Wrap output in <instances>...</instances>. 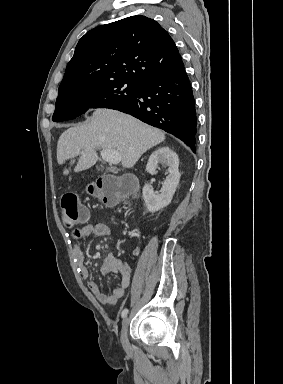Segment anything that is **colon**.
Returning a JSON list of instances; mask_svg holds the SVG:
<instances>
[{"label": "colon", "instance_id": "1", "mask_svg": "<svg viewBox=\"0 0 283 384\" xmlns=\"http://www.w3.org/2000/svg\"><path fill=\"white\" fill-rule=\"evenodd\" d=\"M133 185L130 178L113 176L101 177L88 186V192L102 201L105 205L118 204L129 193ZM62 220L67 228L87 221L88 212L81 207L78 198L73 193H67L61 200Z\"/></svg>", "mask_w": 283, "mask_h": 384}]
</instances>
